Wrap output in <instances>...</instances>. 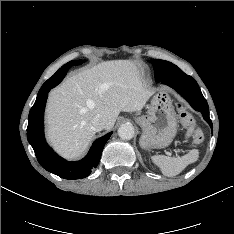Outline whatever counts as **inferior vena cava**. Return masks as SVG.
<instances>
[{
  "label": "inferior vena cava",
  "mask_w": 234,
  "mask_h": 234,
  "mask_svg": "<svg viewBox=\"0 0 234 234\" xmlns=\"http://www.w3.org/2000/svg\"><path fill=\"white\" fill-rule=\"evenodd\" d=\"M92 130L95 132H99L101 130H103L105 128V120L100 116V115H96L93 119H92Z\"/></svg>",
  "instance_id": "1"
}]
</instances>
